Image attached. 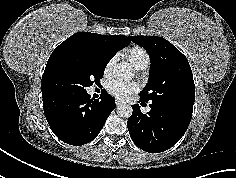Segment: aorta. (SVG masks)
<instances>
[{
    "instance_id": "762f6f07",
    "label": "aorta",
    "mask_w": 236,
    "mask_h": 178,
    "mask_svg": "<svg viewBox=\"0 0 236 178\" xmlns=\"http://www.w3.org/2000/svg\"><path fill=\"white\" fill-rule=\"evenodd\" d=\"M132 76V70L124 63H120L114 68V77L117 80H127L132 78ZM132 112V107L129 104H120L117 106V114L122 118H129L132 115Z\"/></svg>"
}]
</instances>
